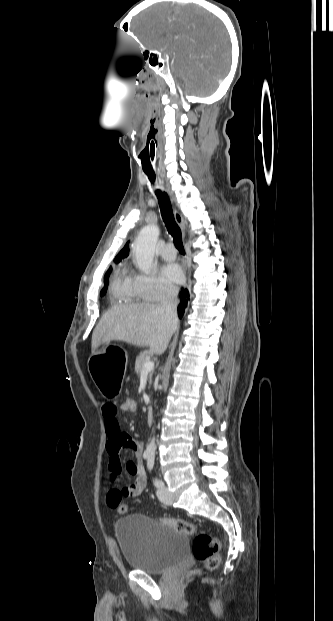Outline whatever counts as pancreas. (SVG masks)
I'll return each instance as SVG.
<instances>
[{
	"label": "pancreas",
	"instance_id": "1",
	"mask_svg": "<svg viewBox=\"0 0 333 621\" xmlns=\"http://www.w3.org/2000/svg\"><path fill=\"white\" fill-rule=\"evenodd\" d=\"M149 360V356H148V352H143L140 353L137 357H136V362H135V372L136 374L140 375L143 369V366L145 364V362H147ZM152 371L150 372L149 378L151 381V377H152Z\"/></svg>",
	"mask_w": 333,
	"mask_h": 621
}]
</instances>
